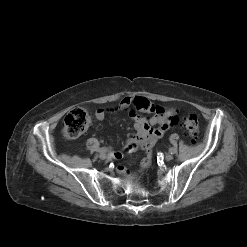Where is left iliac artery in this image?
I'll return each instance as SVG.
<instances>
[{"mask_svg": "<svg viewBox=\"0 0 247 247\" xmlns=\"http://www.w3.org/2000/svg\"><path fill=\"white\" fill-rule=\"evenodd\" d=\"M169 152L171 153V154H175L176 152H177V150H176V148H170L169 149Z\"/></svg>", "mask_w": 247, "mask_h": 247, "instance_id": "1", "label": "left iliac artery"}]
</instances>
